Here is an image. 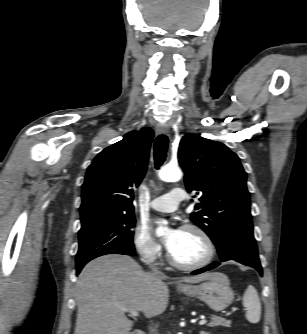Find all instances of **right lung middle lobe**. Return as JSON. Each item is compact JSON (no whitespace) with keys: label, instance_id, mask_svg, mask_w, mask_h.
I'll use <instances>...</instances> for the list:
<instances>
[{"label":"right lung middle lobe","instance_id":"obj_1","mask_svg":"<svg viewBox=\"0 0 307 334\" xmlns=\"http://www.w3.org/2000/svg\"><path fill=\"white\" fill-rule=\"evenodd\" d=\"M133 214L98 213L81 217L76 266H83L101 255L134 250Z\"/></svg>","mask_w":307,"mask_h":334}]
</instances>
